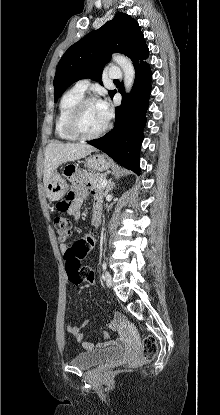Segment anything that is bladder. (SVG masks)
<instances>
[{"label": "bladder", "instance_id": "1", "mask_svg": "<svg viewBox=\"0 0 220 415\" xmlns=\"http://www.w3.org/2000/svg\"><path fill=\"white\" fill-rule=\"evenodd\" d=\"M124 352L125 349L123 347L85 351L73 357L70 364L80 369H89L109 361L117 360L122 357Z\"/></svg>", "mask_w": 220, "mask_h": 415}]
</instances>
